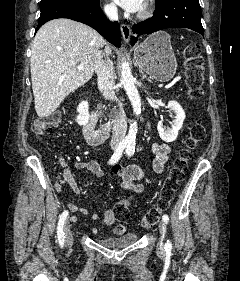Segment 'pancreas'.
Returning <instances> with one entry per match:
<instances>
[{"instance_id": "1", "label": "pancreas", "mask_w": 240, "mask_h": 281, "mask_svg": "<svg viewBox=\"0 0 240 281\" xmlns=\"http://www.w3.org/2000/svg\"><path fill=\"white\" fill-rule=\"evenodd\" d=\"M101 108H102V106L100 105V106H99V109H101Z\"/></svg>"}]
</instances>
